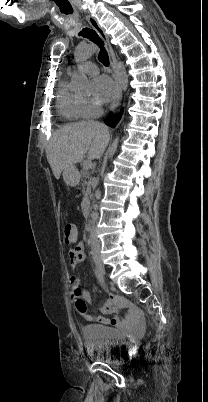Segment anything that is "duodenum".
Masks as SVG:
<instances>
[{"label":"duodenum","instance_id":"duodenum-1","mask_svg":"<svg viewBox=\"0 0 208 402\" xmlns=\"http://www.w3.org/2000/svg\"><path fill=\"white\" fill-rule=\"evenodd\" d=\"M82 210L84 214H88L90 211V201L88 199H84L82 202Z\"/></svg>","mask_w":208,"mask_h":402}]
</instances>
